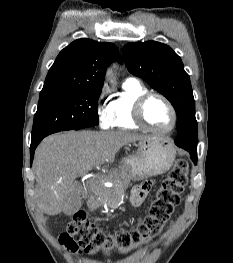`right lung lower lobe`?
I'll return each mask as SVG.
<instances>
[{
	"label": "right lung lower lobe",
	"instance_id": "98d812e1",
	"mask_svg": "<svg viewBox=\"0 0 233 263\" xmlns=\"http://www.w3.org/2000/svg\"><path fill=\"white\" fill-rule=\"evenodd\" d=\"M78 129H81V128L72 129V130H78ZM42 139L43 138L31 142V146H30V163L31 164H32V161H33V158H34V151H35L37 145L40 143V141Z\"/></svg>",
	"mask_w": 233,
	"mask_h": 263
}]
</instances>
